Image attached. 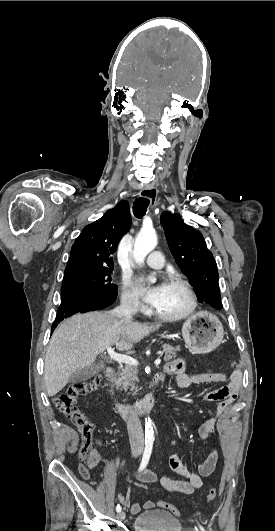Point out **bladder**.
Instances as JSON below:
<instances>
[{
  "mask_svg": "<svg viewBox=\"0 0 275 531\" xmlns=\"http://www.w3.org/2000/svg\"><path fill=\"white\" fill-rule=\"evenodd\" d=\"M134 524V531H181L180 520L163 509L137 514Z\"/></svg>",
  "mask_w": 275,
  "mask_h": 531,
  "instance_id": "obj_1",
  "label": "bladder"
}]
</instances>
